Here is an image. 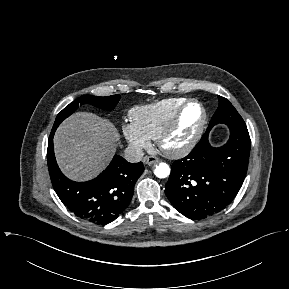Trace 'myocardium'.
<instances>
[{
	"label": "myocardium",
	"instance_id": "1",
	"mask_svg": "<svg viewBox=\"0 0 289 289\" xmlns=\"http://www.w3.org/2000/svg\"><path fill=\"white\" fill-rule=\"evenodd\" d=\"M190 104H197L202 112V118L200 121V124L193 134V136L184 144L173 146L169 144V139L172 137L174 132L177 130L181 118L183 116V113L185 109L190 105ZM207 119H208V114L207 110L202 104L197 99L191 98L185 100L181 106L177 109L175 114L173 115L172 119L170 122L167 124V126L164 128V130L161 132V134L158 137V145L160 149L167 155L172 156V157H182L186 154H188L200 141L205 128L207 124Z\"/></svg>",
	"mask_w": 289,
	"mask_h": 289
}]
</instances>
